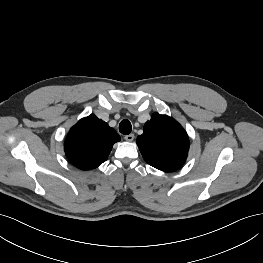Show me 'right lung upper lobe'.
<instances>
[{
    "label": "right lung upper lobe",
    "mask_w": 263,
    "mask_h": 263,
    "mask_svg": "<svg viewBox=\"0 0 263 263\" xmlns=\"http://www.w3.org/2000/svg\"><path fill=\"white\" fill-rule=\"evenodd\" d=\"M120 141L117 132L95 115L78 121L65 140L68 160L77 168L90 170L107 160L114 143Z\"/></svg>",
    "instance_id": "cb5924a9"
}]
</instances>
